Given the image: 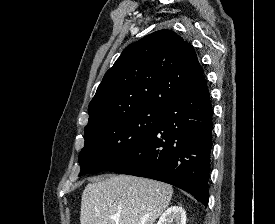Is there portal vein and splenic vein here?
I'll use <instances>...</instances> for the list:
<instances>
[{
    "label": "portal vein and splenic vein",
    "instance_id": "portal-vein-and-splenic-vein-1",
    "mask_svg": "<svg viewBox=\"0 0 275 224\" xmlns=\"http://www.w3.org/2000/svg\"><path fill=\"white\" fill-rule=\"evenodd\" d=\"M113 219L118 222L120 219L118 217H113Z\"/></svg>",
    "mask_w": 275,
    "mask_h": 224
}]
</instances>
